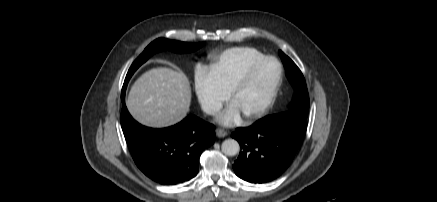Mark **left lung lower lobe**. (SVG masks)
I'll return each instance as SVG.
<instances>
[{"label":"left lung lower lobe","mask_w":437,"mask_h":202,"mask_svg":"<svg viewBox=\"0 0 437 202\" xmlns=\"http://www.w3.org/2000/svg\"><path fill=\"white\" fill-rule=\"evenodd\" d=\"M307 128V115L289 110L268 115L232 133L241 147L235 174L250 183L280 176L292 162Z\"/></svg>","instance_id":"0a47b994"}]
</instances>
